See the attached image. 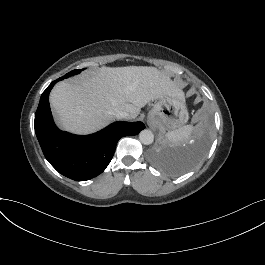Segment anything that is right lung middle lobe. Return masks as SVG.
Returning <instances> with one entry per match:
<instances>
[{
  "label": "right lung middle lobe",
  "mask_w": 265,
  "mask_h": 265,
  "mask_svg": "<svg viewBox=\"0 0 265 265\" xmlns=\"http://www.w3.org/2000/svg\"><path fill=\"white\" fill-rule=\"evenodd\" d=\"M79 72H80V70H73V71L69 72L68 74H66L65 76H63L62 79L67 78V77L72 76V75H75V74H78Z\"/></svg>",
  "instance_id": "1"
}]
</instances>
